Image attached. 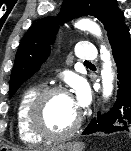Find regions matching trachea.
I'll list each match as a JSON object with an SVG mask.
<instances>
[{"instance_id": "trachea-1", "label": "trachea", "mask_w": 131, "mask_h": 151, "mask_svg": "<svg viewBox=\"0 0 131 151\" xmlns=\"http://www.w3.org/2000/svg\"><path fill=\"white\" fill-rule=\"evenodd\" d=\"M84 64H90L89 62L85 61Z\"/></svg>"}]
</instances>
